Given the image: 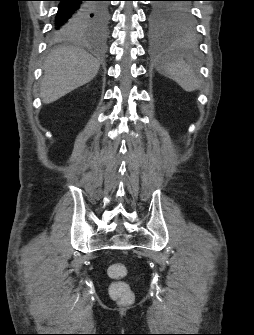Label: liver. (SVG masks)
<instances>
[{"label":"liver","instance_id":"liver-1","mask_svg":"<svg viewBox=\"0 0 254 335\" xmlns=\"http://www.w3.org/2000/svg\"><path fill=\"white\" fill-rule=\"evenodd\" d=\"M99 68V61L80 47L56 48L43 66L44 76L40 88L43 103H52L90 82Z\"/></svg>","mask_w":254,"mask_h":335}]
</instances>
